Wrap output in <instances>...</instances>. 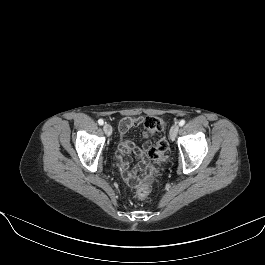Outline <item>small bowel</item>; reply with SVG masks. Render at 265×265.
Masks as SVG:
<instances>
[{
  "label": "small bowel",
  "mask_w": 265,
  "mask_h": 265,
  "mask_svg": "<svg viewBox=\"0 0 265 265\" xmlns=\"http://www.w3.org/2000/svg\"><path fill=\"white\" fill-rule=\"evenodd\" d=\"M142 118H124L119 124V133L121 137L120 145L118 148L117 158L119 161V168L124 180L127 183L132 184L135 182L136 177L133 172L130 171V159L129 155L134 153L135 155L142 157L147 150L151 147L150 141H145L142 146H137L131 142L127 136L128 131L138 125L143 124ZM143 137L147 138L148 133L143 132Z\"/></svg>",
  "instance_id": "1"
}]
</instances>
